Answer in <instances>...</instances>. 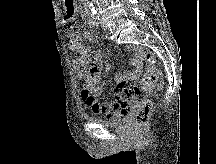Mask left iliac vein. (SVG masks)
Wrapping results in <instances>:
<instances>
[{
    "mask_svg": "<svg viewBox=\"0 0 216 164\" xmlns=\"http://www.w3.org/2000/svg\"><path fill=\"white\" fill-rule=\"evenodd\" d=\"M101 27H102V29L103 30H107V24H106V22L105 21H103V20H101Z\"/></svg>",
    "mask_w": 216,
    "mask_h": 164,
    "instance_id": "4c4485c4",
    "label": "left iliac vein"
}]
</instances>
